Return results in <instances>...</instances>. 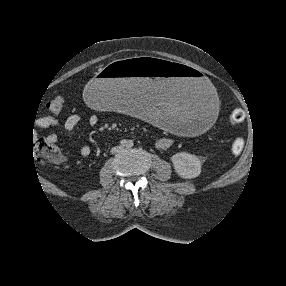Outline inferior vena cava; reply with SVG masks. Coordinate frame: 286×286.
<instances>
[{
	"label": "inferior vena cava",
	"mask_w": 286,
	"mask_h": 286,
	"mask_svg": "<svg viewBox=\"0 0 286 286\" xmlns=\"http://www.w3.org/2000/svg\"><path fill=\"white\" fill-rule=\"evenodd\" d=\"M119 149H120V147H114V148L111 149V153L114 154V153H116Z\"/></svg>",
	"instance_id": "inferior-vena-cava-1"
}]
</instances>
